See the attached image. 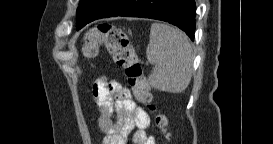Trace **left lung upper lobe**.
<instances>
[{
  "instance_id": "left-lung-upper-lobe-1",
  "label": "left lung upper lobe",
  "mask_w": 273,
  "mask_h": 144,
  "mask_svg": "<svg viewBox=\"0 0 273 144\" xmlns=\"http://www.w3.org/2000/svg\"><path fill=\"white\" fill-rule=\"evenodd\" d=\"M94 2H95V0H80V5H79L77 11L82 8H85L88 4H89V6L93 5Z\"/></svg>"
}]
</instances>
